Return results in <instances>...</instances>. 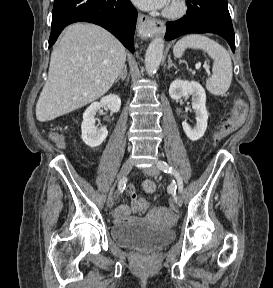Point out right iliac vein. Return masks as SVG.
I'll return each instance as SVG.
<instances>
[{
	"mask_svg": "<svg viewBox=\"0 0 273 288\" xmlns=\"http://www.w3.org/2000/svg\"><path fill=\"white\" fill-rule=\"evenodd\" d=\"M133 168V162L132 160H127L123 165L119 173V178H123L126 176ZM114 205V196L111 195L107 200V206L109 208H112Z\"/></svg>",
	"mask_w": 273,
	"mask_h": 288,
	"instance_id": "right-iliac-vein-1",
	"label": "right iliac vein"
}]
</instances>
